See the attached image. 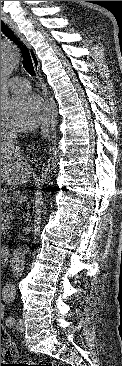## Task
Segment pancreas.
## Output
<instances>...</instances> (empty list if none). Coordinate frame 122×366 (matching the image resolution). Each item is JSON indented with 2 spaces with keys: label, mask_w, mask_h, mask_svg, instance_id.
Returning a JSON list of instances; mask_svg holds the SVG:
<instances>
[{
  "label": "pancreas",
  "mask_w": 122,
  "mask_h": 366,
  "mask_svg": "<svg viewBox=\"0 0 122 366\" xmlns=\"http://www.w3.org/2000/svg\"><path fill=\"white\" fill-rule=\"evenodd\" d=\"M6 199H8L7 189L3 188L1 189V206L3 202H6ZM7 229H9V226L7 223H5V213L3 214L1 212V234L4 233Z\"/></svg>",
  "instance_id": "1"
}]
</instances>
